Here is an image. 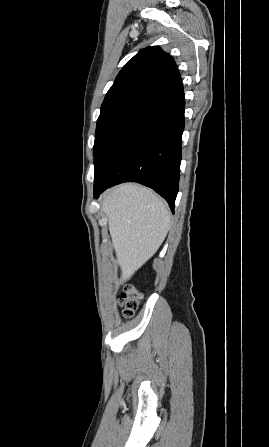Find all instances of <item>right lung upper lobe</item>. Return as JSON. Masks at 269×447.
Returning a JSON list of instances; mask_svg holds the SVG:
<instances>
[{
    "mask_svg": "<svg viewBox=\"0 0 269 447\" xmlns=\"http://www.w3.org/2000/svg\"><path fill=\"white\" fill-rule=\"evenodd\" d=\"M179 82L181 77L173 58L158 46L147 47L119 72L105 96L100 115L121 108H143Z\"/></svg>",
    "mask_w": 269,
    "mask_h": 447,
    "instance_id": "obj_1",
    "label": "right lung upper lobe"
}]
</instances>
